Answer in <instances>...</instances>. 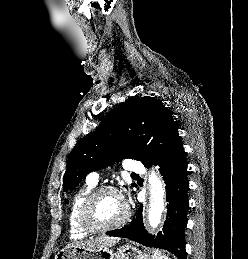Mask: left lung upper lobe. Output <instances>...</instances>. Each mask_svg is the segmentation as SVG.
<instances>
[{
	"instance_id": "left-lung-upper-lobe-1",
	"label": "left lung upper lobe",
	"mask_w": 248,
	"mask_h": 259,
	"mask_svg": "<svg viewBox=\"0 0 248 259\" xmlns=\"http://www.w3.org/2000/svg\"><path fill=\"white\" fill-rule=\"evenodd\" d=\"M179 140L172 113L159 100L149 96L130 97L73 148L63 190H74L86 174L113 161L131 158L150 166Z\"/></svg>"
}]
</instances>
